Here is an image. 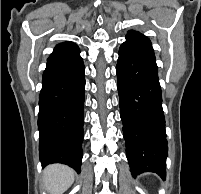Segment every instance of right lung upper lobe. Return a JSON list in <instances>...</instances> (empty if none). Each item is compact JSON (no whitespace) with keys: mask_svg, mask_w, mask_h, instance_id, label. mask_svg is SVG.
<instances>
[{"mask_svg":"<svg viewBox=\"0 0 201 194\" xmlns=\"http://www.w3.org/2000/svg\"><path fill=\"white\" fill-rule=\"evenodd\" d=\"M79 47L70 42H63L55 46L52 54L47 59V64L69 62L78 58H81Z\"/></svg>","mask_w":201,"mask_h":194,"instance_id":"1","label":"right lung upper lobe"}]
</instances>
